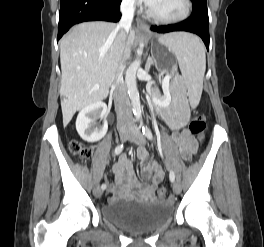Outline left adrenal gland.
<instances>
[{"label":"left adrenal gland","instance_id":"1","mask_svg":"<svg viewBox=\"0 0 264 247\" xmlns=\"http://www.w3.org/2000/svg\"><path fill=\"white\" fill-rule=\"evenodd\" d=\"M153 64V61H152V57H149V60H148V63H147V67H146V70L149 71L150 69V66Z\"/></svg>","mask_w":264,"mask_h":247}]
</instances>
